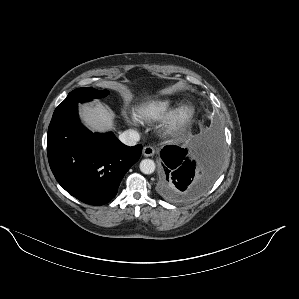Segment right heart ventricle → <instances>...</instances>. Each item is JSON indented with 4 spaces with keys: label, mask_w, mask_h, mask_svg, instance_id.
I'll list each match as a JSON object with an SVG mask.
<instances>
[{
    "label": "right heart ventricle",
    "mask_w": 299,
    "mask_h": 299,
    "mask_svg": "<svg viewBox=\"0 0 299 299\" xmlns=\"http://www.w3.org/2000/svg\"><path fill=\"white\" fill-rule=\"evenodd\" d=\"M174 101L169 97H157L144 101L135 108V116L142 122H157L173 108Z\"/></svg>",
    "instance_id": "obj_1"
}]
</instances>
